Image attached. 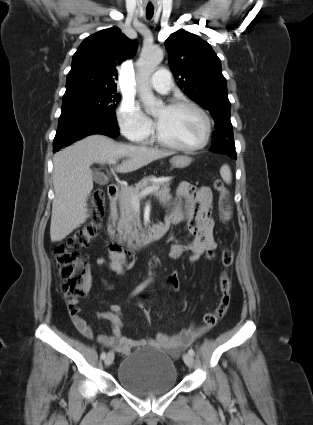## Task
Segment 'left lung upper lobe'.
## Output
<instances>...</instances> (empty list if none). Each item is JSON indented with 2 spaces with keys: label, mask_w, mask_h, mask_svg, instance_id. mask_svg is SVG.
I'll return each instance as SVG.
<instances>
[{
  "label": "left lung upper lobe",
  "mask_w": 313,
  "mask_h": 425,
  "mask_svg": "<svg viewBox=\"0 0 313 425\" xmlns=\"http://www.w3.org/2000/svg\"><path fill=\"white\" fill-rule=\"evenodd\" d=\"M171 71L178 86L192 100L207 109L217 129H232L227 82L221 61L200 37L180 29L165 41Z\"/></svg>",
  "instance_id": "1"
}]
</instances>
